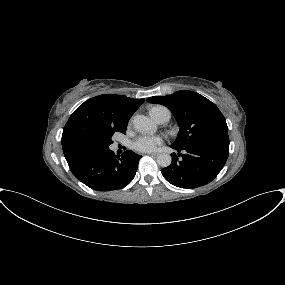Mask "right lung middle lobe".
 <instances>
[{
  "mask_svg": "<svg viewBox=\"0 0 285 285\" xmlns=\"http://www.w3.org/2000/svg\"><path fill=\"white\" fill-rule=\"evenodd\" d=\"M114 132H110L97 146L98 147H102V148H108L110 146V144L113 143V141L111 140L112 135L114 134ZM118 132H122V133H126V130H122V131H118Z\"/></svg>",
  "mask_w": 285,
  "mask_h": 285,
  "instance_id": "1",
  "label": "right lung middle lobe"
}]
</instances>
